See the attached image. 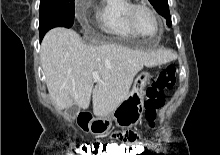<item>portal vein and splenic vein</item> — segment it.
I'll return each mask as SVG.
<instances>
[{
	"label": "portal vein and splenic vein",
	"mask_w": 220,
	"mask_h": 155,
	"mask_svg": "<svg viewBox=\"0 0 220 155\" xmlns=\"http://www.w3.org/2000/svg\"><path fill=\"white\" fill-rule=\"evenodd\" d=\"M93 78H94L95 81H100L99 73L97 71H95L93 73Z\"/></svg>",
	"instance_id": "1"
}]
</instances>
